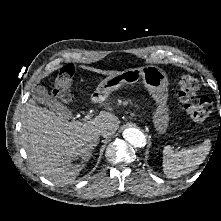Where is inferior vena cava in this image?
Returning <instances> with one entry per match:
<instances>
[{
    "mask_svg": "<svg viewBox=\"0 0 221 221\" xmlns=\"http://www.w3.org/2000/svg\"><path fill=\"white\" fill-rule=\"evenodd\" d=\"M106 133H107V132H106L105 130L101 129V130H99V131L97 132L96 136L98 137V136L102 135L103 137H105V136H106Z\"/></svg>",
    "mask_w": 221,
    "mask_h": 221,
    "instance_id": "1",
    "label": "inferior vena cava"
}]
</instances>
